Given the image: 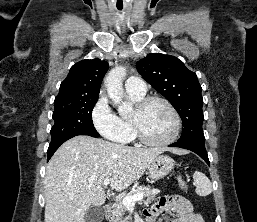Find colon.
Masks as SVG:
<instances>
[{
    "label": "colon",
    "mask_w": 257,
    "mask_h": 222,
    "mask_svg": "<svg viewBox=\"0 0 257 222\" xmlns=\"http://www.w3.org/2000/svg\"><path fill=\"white\" fill-rule=\"evenodd\" d=\"M178 185H179V187L182 189V190H186L187 189V187H188V185H187V182L184 180V178L183 177H179L178 178Z\"/></svg>",
    "instance_id": "obj_1"
}]
</instances>
